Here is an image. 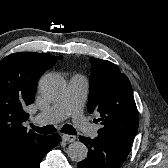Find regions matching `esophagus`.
I'll list each match as a JSON object with an SVG mask.
<instances>
[{"instance_id": "1", "label": "esophagus", "mask_w": 168, "mask_h": 168, "mask_svg": "<svg viewBox=\"0 0 168 168\" xmlns=\"http://www.w3.org/2000/svg\"><path fill=\"white\" fill-rule=\"evenodd\" d=\"M61 138L65 142H74L76 140V136H74V135H67V134H63L61 136Z\"/></svg>"}]
</instances>
